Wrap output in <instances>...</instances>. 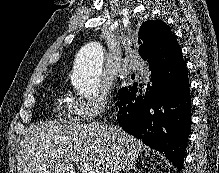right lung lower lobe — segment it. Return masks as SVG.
I'll return each instance as SVG.
<instances>
[{"instance_id":"obj_1","label":"right lung lower lobe","mask_w":219,"mask_h":173,"mask_svg":"<svg viewBox=\"0 0 219 173\" xmlns=\"http://www.w3.org/2000/svg\"><path fill=\"white\" fill-rule=\"evenodd\" d=\"M147 85L133 83L117 95L118 124L144 144L183 167L191 120L189 80L183 57L170 62L158 54L147 59Z\"/></svg>"}]
</instances>
